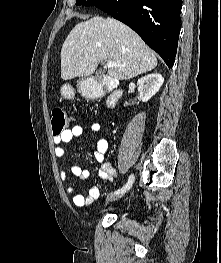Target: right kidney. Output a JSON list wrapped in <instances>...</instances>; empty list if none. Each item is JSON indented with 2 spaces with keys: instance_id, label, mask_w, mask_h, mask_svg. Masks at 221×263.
Segmentation results:
<instances>
[{
  "instance_id": "obj_1",
  "label": "right kidney",
  "mask_w": 221,
  "mask_h": 263,
  "mask_svg": "<svg viewBox=\"0 0 221 263\" xmlns=\"http://www.w3.org/2000/svg\"><path fill=\"white\" fill-rule=\"evenodd\" d=\"M164 83V78L159 73H152L140 78L137 81V87L142 102H147L154 96ZM124 105H127L125 102Z\"/></svg>"
}]
</instances>
